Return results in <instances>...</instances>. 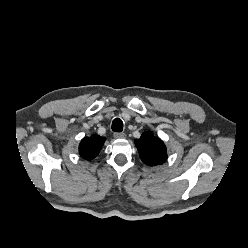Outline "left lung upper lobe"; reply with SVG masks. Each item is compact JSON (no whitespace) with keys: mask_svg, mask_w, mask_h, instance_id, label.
Here are the masks:
<instances>
[{"mask_svg":"<svg viewBox=\"0 0 248 248\" xmlns=\"http://www.w3.org/2000/svg\"><path fill=\"white\" fill-rule=\"evenodd\" d=\"M141 160L149 165L162 164L167 159L166 147L161 139L153 136L152 132H145L135 140Z\"/></svg>","mask_w":248,"mask_h":248,"instance_id":"left-lung-upper-lobe-1","label":"left lung upper lobe"}]
</instances>
